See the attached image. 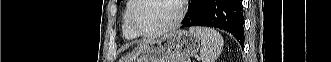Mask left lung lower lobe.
Listing matches in <instances>:
<instances>
[{
    "label": "left lung lower lobe",
    "instance_id": "0a47b994",
    "mask_svg": "<svg viewBox=\"0 0 331 62\" xmlns=\"http://www.w3.org/2000/svg\"><path fill=\"white\" fill-rule=\"evenodd\" d=\"M183 26H208L230 32L243 47L242 0H191Z\"/></svg>",
    "mask_w": 331,
    "mask_h": 62
}]
</instances>
